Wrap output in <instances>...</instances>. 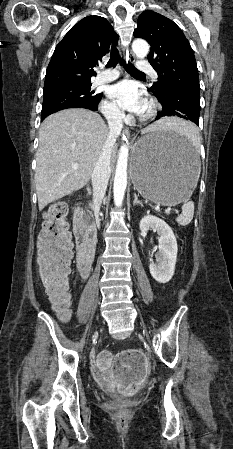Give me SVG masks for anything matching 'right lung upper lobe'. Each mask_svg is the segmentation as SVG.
Returning a JSON list of instances; mask_svg holds the SVG:
<instances>
[{
	"label": "right lung upper lobe",
	"instance_id": "cb5924a9",
	"mask_svg": "<svg viewBox=\"0 0 233 449\" xmlns=\"http://www.w3.org/2000/svg\"><path fill=\"white\" fill-rule=\"evenodd\" d=\"M118 35L103 17L79 21L55 48L47 67L44 92L70 85L91 84L92 68L117 44Z\"/></svg>",
	"mask_w": 233,
	"mask_h": 449
}]
</instances>
